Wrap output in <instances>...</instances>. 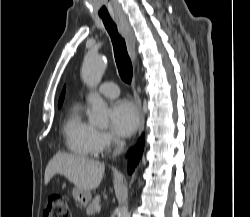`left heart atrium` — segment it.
Here are the masks:
<instances>
[{
  "label": "left heart atrium",
  "mask_w": 250,
  "mask_h": 217,
  "mask_svg": "<svg viewBox=\"0 0 250 217\" xmlns=\"http://www.w3.org/2000/svg\"><path fill=\"white\" fill-rule=\"evenodd\" d=\"M112 129L120 136H130L135 132L139 116L134 105L128 100H118L110 108Z\"/></svg>",
  "instance_id": "left-heart-atrium-1"
}]
</instances>
